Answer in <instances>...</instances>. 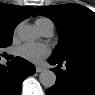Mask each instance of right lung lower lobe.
<instances>
[{
	"label": "right lung lower lobe",
	"mask_w": 95,
	"mask_h": 95,
	"mask_svg": "<svg viewBox=\"0 0 95 95\" xmlns=\"http://www.w3.org/2000/svg\"><path fill=\"white\" fill-rule=\"evenodd\" d=\"M35 73V66L16 57L10 68L0 65V95H20L23 80Z\"/></svg>",
	"instance_id": "right-lung-lower-lobe-1"
}]
</instances>
